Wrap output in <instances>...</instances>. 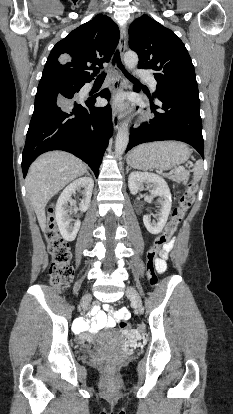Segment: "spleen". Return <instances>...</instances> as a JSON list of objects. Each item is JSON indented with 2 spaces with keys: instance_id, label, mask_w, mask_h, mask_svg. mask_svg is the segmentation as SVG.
Wrapping results in <instances>:
<instances>
[{
  "instance_id": "3e777b00",
  "label": "spleen",
  "mask_w": 233,
  "mask_h": 414,
  "mask_svg": "<svg viewBox=\"0 0 233 414\" xmlns=\"http://www.w3.org/2000/svg\"><path fill=\"white\" fill-rule=\"evenodd\" d=\"M194 181H198L203 174V163L202 161H197L193 168Z\"/></svg>"
}]
</instances>
